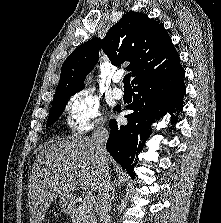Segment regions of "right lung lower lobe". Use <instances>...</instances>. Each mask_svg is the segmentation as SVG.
I'll list each match as a JSON object with an SVG mask.
<instances>
[{
    "label": "right lung lower lobe",
    "mask_w": 221,
    "mask_h": 223,
    "mask_svg": "<svg viewBox=\"0 0 221 223\" xmlns=\"http://www.w3.org/2000/svg\"><path fill=\"white\" fill-rule=\"evenodd\" d=\"M185 71L180 65L173 72L160 78L141 80L134 84L138 92L127 109L134 110L126 115V125H118L110 120V135L106 144L112 157L134 178L133 168L138 162V154L149 137L152 122L166 113L176 122L183 109ZM120 111V108H116Z\"/></svg>",
    "instance_id": "right-lung-lower-lobe-1"
}]
</instances>
